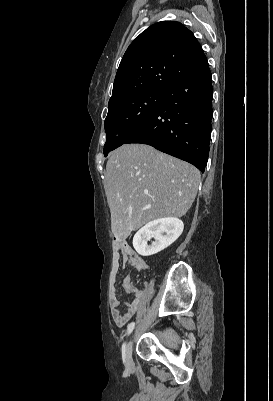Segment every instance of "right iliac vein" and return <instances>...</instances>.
<instances>
[{
    "label": "right iliac vein",
    "instance_id": "right-iliac-vein-1",
    "mask_svg": "<svg viewBox=\"0 0 273 401\" xmlns=\"http://www.w3.org/2000/svg\"><path fill=\"white\" fill-rule=\"evenodd\" d=\"M132 348H133V337L130 338L129 342L126 345V348L124 349V357H125V363L128 368H133L134 362L132 358Z\"/></svg>",
    "mask_w": 273,
    "mask_h": 401
}]
</instances>
